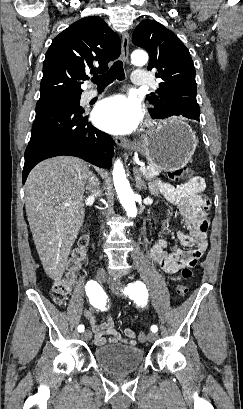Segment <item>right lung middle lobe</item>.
<instances>
[{
  "label": "right lung middle lobe",
  "mask_w": 243,
  "mask_h": 409,
  "mask_svg": "<svg viewBox=\"0 0 243 409\" xmlns=\"http://www.w3.org/2000/svg\"><path fill=\"white\" fill-rule=\"evenodd\" d=\"M45 102H53V103H59V104H69L73 106H79L80 96L56 98V99L48 100Z\"/></svg>",
  "instance_id": "obj_1"
}]
</instances>
